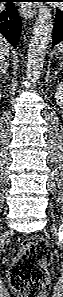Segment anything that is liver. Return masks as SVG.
Listing matches in <instances>:
<instances>
[{
	"label": "liver",
	"instance_id": "1",
	"mask_svg": "<svg viewBox=\"0 0 63 297\" xmlns=\"http://www.w3.org/2000/svg\"><path fill=\"white\" fill-rule=\"evenodd\" d=\"M10 44L6 39L0 37V63L2 64L9 55Z\"/></svg>",
	"mask_w": 63,
	"mask_h": 297
}]
</instances>
